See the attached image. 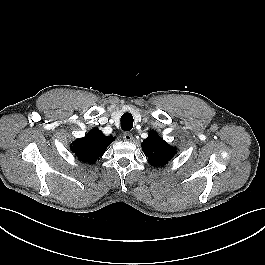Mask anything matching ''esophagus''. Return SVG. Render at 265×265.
Here are the masks:
<instances>
[{
  "mask_svg": "<svg viewBox=\"0 0 265 265\" xmlns=\"http://www.w3.org/2000/svg\"><path fill=\"white\" fill-rule=\"evenodd\" d=\"M123 139L127 142H131L133 140V135L129 132L124 133Z\"/></svg>",
  "mask_w": 265,
  "mask_h": 265,
  "instance_id": "1",
  "label": "esophagus"
}]
</instances>
